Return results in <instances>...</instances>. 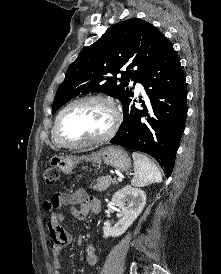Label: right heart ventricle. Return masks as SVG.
I'll use <instances>...</instances> for the list:
<instances>
[{"label": "right heart ventricle", "instance_id": "1", "mask_svg": "<svg viewBox=\"0 0 221 274\" xmlns=\"http://www.w3.org/2000/svg\"><path fill=\"white\" fill-rule=\"evenodd\" d=\"M54 128H55V125H54ZM52 136H53L54 142H55L57 145L62 146V145L59 143V141L57 140L56 136H55V130H54V129H53V134H52Z\"/></svg>", "mask_w": 221, "mask_h": 274}]
</instances>
